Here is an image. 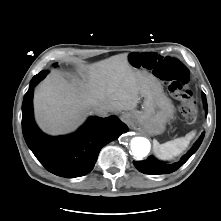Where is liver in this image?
I'll return each instance as SVG.
<instances>
[{"label": "liver", "instance_id": "1", "mask_svg": "<svg viewBox=\"0 0 221 221\" xmlns=\"http://www.w3.org/2000/svg\"><path fill=\"white\" fill-rule=\"evenodd\" d=\"M85 83L71 84L59 74L48 76L34 94L35 118L48 134L75 130L97 108L133 111L146 79L120 54L87 67Z\"/></svg>", "mask_w": 221, "mask_h": 221}]
</instances>
